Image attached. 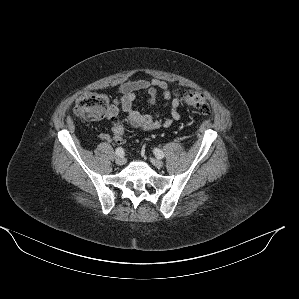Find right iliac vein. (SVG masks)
Masks as SVG:
<instances>
[{
  "label": "right iliac vein",
  "mask_w": 299,
  "mask_h": 299,
  "mask_svg": "<svg viewBox=\"0 0 299 299\" xmlns=\"http://www.w3.org/2000/svg\"><path fill=\"white\" fill-rule=\"evenodd\" d=\"M125 161H126V160H125V158H123V157H117L116 160H115L116 164L119 165V166L124 165V164H125Z\"/></svg>",
  "instance_id": "right-iliac-vein-1"
}]
</instances>
